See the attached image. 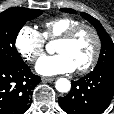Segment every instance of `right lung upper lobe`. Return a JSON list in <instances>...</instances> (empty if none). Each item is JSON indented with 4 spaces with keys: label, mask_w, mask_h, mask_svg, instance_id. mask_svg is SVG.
<instances>
[{
    "label": "right lung upper lobe",
    "mask_w": 114,
    "mask_h": 114,
    "mask_svg": "<svg viewBox=\"0 0 114 114\" xmlns=\"http://www.w3.org/2000/svg\"><path fill=\"white\" fill-rule=\"evenodd\" d=\"M12 9H20V7H15V8H12Z\"/></svg>",
    "instance_id": "cb5924a9"
}]
</instances>
